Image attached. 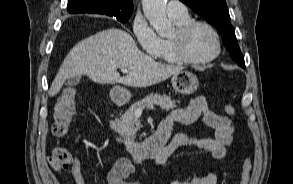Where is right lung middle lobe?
Instances as JSON below:
<instances>
[{
    "label": "right lung middle lobe",
    "mask_w": 293,
    "mask_h": 184,
    "mask_svg": "<svg viewBox=\"0 0 293 184\" xmlns=\"http://www.w3.org/2000/svg\"><path fill=\"white\" fill-rule=\"evenodd\" d=\"M131 15H124V16H117V20L120 21V22H126L129 18H130Z\"/></svg>",
    "instance_id": "1"
}]
</instances>
